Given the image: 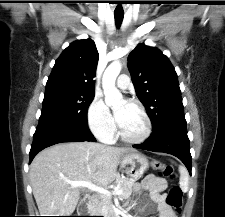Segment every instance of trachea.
Returning <instances> with one entry per match:
<instances>
[{
  "label": "trachea",
  "instance_id": "1",
  "mask_svg": "<svg viewBox=\"0 0 225 217\" xmlns=\"http://www.w3.org/2000/svg\"><path fill=\"white\" fill-rule=\"evenodd\" d=\"M124 13H114L115 24L119 27L123 21Z\"/></svg>",
  "mask_w": 225,
  "mask_h": 217
}]
</instances>
